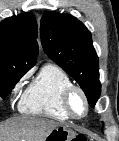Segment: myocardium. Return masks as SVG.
<instances>
[{
	"label": "myocardium",
	"instance_id": "myocardium-1",
	"mask_svg": "<svg viewBox=\"0 0 119 141\" xmlns=\"http://www.w3.org/2000/svg\"><path fill=\"white\" fill-rule=\"evenodd\" d=\"M75 94H78L82 98L84 103V111L81 115L76 114L72 108V98ZM61 104L65 113L69 116V118H72V119H82L86 117V115L89 112V101L85 92L83 91L82 88L73 84L67 87L62 92Z\"/></svg>",
	"mask_w": 119,
	"mask_h": 141
}]
</instances>
